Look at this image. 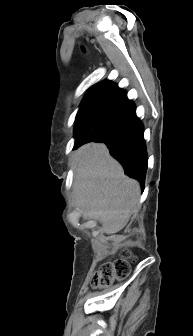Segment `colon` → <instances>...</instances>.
I'll return each instance as SVG.
<instances>
[{"instance_id":"obj_1","label":"colon","mask_w":193,"mask_h":336,"mask_svg":"<svg viewBox=\"0 0 193 336\" xmlns=\"http://www.w3.org/2000/svg\"><path fill=\"white\" fill-rule=\"evenodd\" d=\"M133 256L129 253L112 262L104 263L93 275L92 286L94 288H107L116 281L124 279L130 272Z\"/></svg>"}]
</instances>
